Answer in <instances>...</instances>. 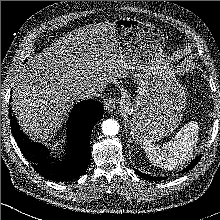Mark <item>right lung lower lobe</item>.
<instances>
[{
  "instance_id": "1",
  "label": "right lung lower lobe",
  "mask_w": 220,
  "mask_h": 220,
  "mask_svg": "<svg viewBox=\"0 0 220 220\" xmlns=\"http://www.w3.org/2000/svg\"><path fill=\"white\" fill-rule=\"evenodd\" d=\"M9 115L11 131L21 152L41 176L53 181H70L85 172L91 156V132L103 117L101 103L90 99L74 106L68 121V142L62 160H54L45 146L29 140L11 110Z\"/></svg>"
}]
</instances>
